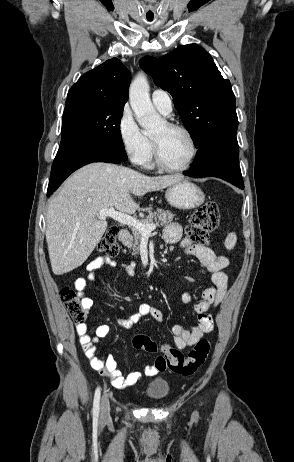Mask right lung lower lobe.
<instances>
[{"instance_id": "right-lung-lower-lobe-1", "label": "right lung lower lobe", "mask_w": 294, "mask_h": 462, "mask_svg": "<svg viewBox=\"0 0 294 462\" xmlns=\"http://www.w3.org/2000/svg\"><path fill=\"white\" fill-rule=\"evenodd\" d=\"M127 160L124 148L114 146L78 149L57 154L52 164L47 196L78 168L92 162L120 163Z\"/></svg>"}]
</instances>
